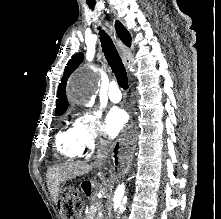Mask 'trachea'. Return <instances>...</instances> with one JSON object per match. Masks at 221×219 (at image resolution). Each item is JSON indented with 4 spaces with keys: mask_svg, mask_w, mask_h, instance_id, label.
<instances>
[{
    "mask_svg": "<svg viewBox=\"0 0 221 219\" xmlns=\"http://www.w3.org/2000/svg\"><path fill=\"white\" fill-rule=\"evenodd\" d=\"M88 6L89 8L93 10L95 3L90 2L88 3ZM99 35H100L101 46L103 48V52L109 63V66L111 67L113 73L115 74L117 78V82L119 86L123 89H127L128 88L127 72L112 40L105 33L104 30L100 29Z\"/></svg>",
    "mask_w": 221,
    "mask_h": 219,
    "instance_id": "1",
    "label": "trachea"
}]
</instances>
